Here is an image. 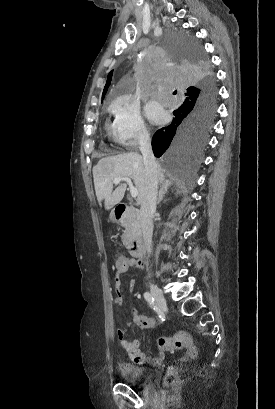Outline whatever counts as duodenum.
<instances>
[{"instance_id":"obj_1","label":"duodenum","mask_w":275,"mask_h":409,"mask_svg":"<svg viewBox=\"0 0 275 409\" xmlns=\"http://www.w3.org/2000/svg\"><path fill=\"white\" fill-rule=\"evenodd\" d=\"M129 207L126 204H118L114 210V216L121 220L127 213ZM129 251L133 257L141 258L144 252V240L141 234H136L129 243Z\"/></svg>"}]
</instances>
